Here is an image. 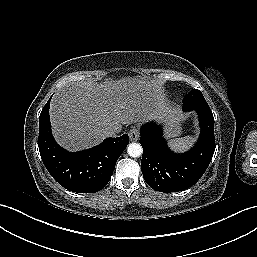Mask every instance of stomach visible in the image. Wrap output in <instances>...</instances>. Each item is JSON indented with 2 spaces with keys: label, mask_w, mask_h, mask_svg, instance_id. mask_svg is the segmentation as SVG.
Segmentation results:
<instances>
[{
  "label": "stomach",
  "mask_w": 257,
  "mask_h": 257,
  "mask_svg": "<svg viewBox=\"0 0 257 257\" xmlns=\"http://www.w3.org/2000/svg\"><path fill=\"white\" fill-rule=\"evenodd\" d=\"M158 122H166V135L168 137H176L181 134V126L174 118L157 117Z\"/></svg>",
  "instance_id": "stomach-1"
}]
</instances>
